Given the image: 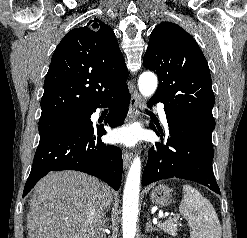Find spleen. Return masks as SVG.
<instances>
[{"label": "spleen", "instance_id": "3e777b00", "mask_svg": "<svg viewBox=\"0 0 247 238\" xmlns=\"http://www.w3.org/2000/svg\"><path fill=\"white\" fill-rule=\"evenodd\" d=\"M179 211L190 227L191 238H221L222 229L214 207L190 185H183Z\"/></svg>", "mask_w": 247, "mask_h": 238}]
</instances>
